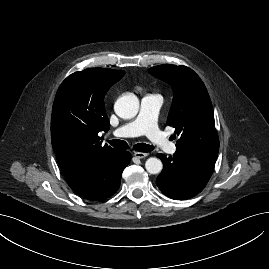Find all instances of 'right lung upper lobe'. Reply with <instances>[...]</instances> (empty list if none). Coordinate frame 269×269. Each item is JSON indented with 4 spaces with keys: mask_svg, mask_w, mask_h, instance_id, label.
Wrapping results in <instances>:
<instances>
[{
    "mask_svg": "<svg viewBox=\"0 0 269 269\" xmlns=\"http://www.w3.org/2000/svg\"><path fill=\"white\" fill-rule=\"evenodd\" d=\"M123 70L89 68L60 85L52 109L51 140L64 176L100 164L119 150L98 133L110 128L104 96L124 76Z\"/></svg>",
    "mask_w": 269,
    "mask_h": 269,
    "instance_id": "cb5924a9",
    "label": "right lung upper lobe"
}]
</instances>
